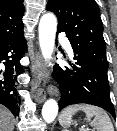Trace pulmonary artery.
I'll use <instances>...</instances> for the list:
<instances>
[{"instance_id":"e3ab8cb5","label":"pulmonary artery","mask_w":117,"mask_h":131,"mask_svg":"<svg viewBox=\"0 0 117 131\" xmlns=\"http://www.w3.org/2000/svg\"><path fill=\"white\" fill-rule=\"evenodd\" d=\"M60 41L64 44L67 51L69 53H72V48H71V45H70L69 41L67 40V38H65L64 36H60Z\"/></svg>"}]
</instances>
